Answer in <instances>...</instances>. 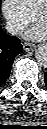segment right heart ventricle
I'll list each match as a JSON object with an SVG mask.
<instances>
[{
	"label": "right heart ventricle",
	"mask_w": 47,
	"mask_h": 129,
	"mask_svg": "<svg viewBox=\"0 0 47 129\" xmlns=\"http://www.w3.org/2000/svg\"><path fill=\"white\" fill-rule=\"evenodd\" d=\"M30 13L34 15L35 11L43 4L45 0H21Z\"/></svg>",
	"instance_id": "e07e8e85"
}]
</instances>
